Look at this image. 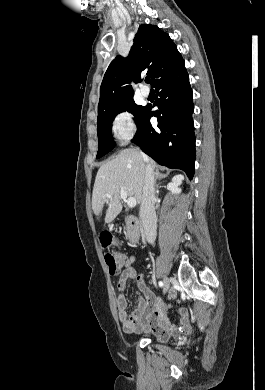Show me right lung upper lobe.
Returning a JSON list of instances; mask_svg holds the SVG:
<instances>
[{
    "instance_id": "cb5924a9",
    "label": "right lung upper lobe",
    "mask_w": 265,
    "mask_h": 390,
    "mask_svg": "<svg viewBox=\"0 0 265 390\" xmlns=\"http://www.w3.org/2000/svg\"><path fill=\"white\" fill-rule=\"evenodd\" d=\"M183 61L168 34L155 25H140L127 58L117 56L109 65L101 87L98 115L133 99L131 80L141 82L140 73L152 78V85ZM129 69L132 71L130 72Z\"/></svg>"
}]
</instances>
